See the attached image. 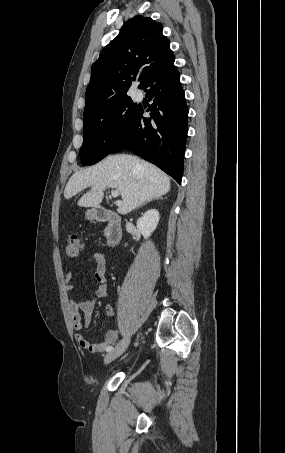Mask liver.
I'll return each mask as SVG.
<instances>
[{
	"instance_id": "1",
	"label": "liver",
	"mask_w": 285,
	"mask_h": 453,
	"mask_svg": "<svg viewBox=\"0 0 285 453\" xmlns=\"http://www.w3.org/2000/svg\"><path fill=\"white\" fill-rule=\"evenodd\" d=\"M87 187L91 189L79 199L78 206L97 207L103 200L104 190L116 188L122 197L117 211L124 215L147 200L168 193L170 178L136 156L117 154L75 172L65 187L64 197L70 199Z\"/></svg>"
}]
</instances>
